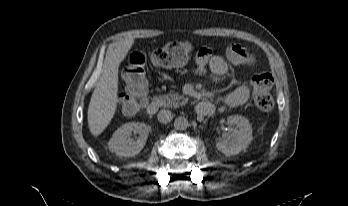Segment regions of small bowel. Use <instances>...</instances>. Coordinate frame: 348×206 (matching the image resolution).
<instances>
[{
    "instance_id": "c3829d8e",
    "label": "small bowel",
    "mask_w": 348,
    "mask_h": 206,
    "mask_svg": "<svg viewBox=\"0 0 348 206\" xmlns=\"http://www.w3.org/2000/svg\"><path fill=\"white\" fill-rule=\"evenodd\" d=\"M252 56L240 45L229 44L225 56L212 55L209 48L199 50V56L196 57L195 73L202 74L208 69L216 81L222 80L228 72L229 64L238 67L251 64ZM249 97V87L246 82H242L233 91L224 95L221 101L226 105L235 107L244 104Z\"/></svg>"
}]
</instances>
